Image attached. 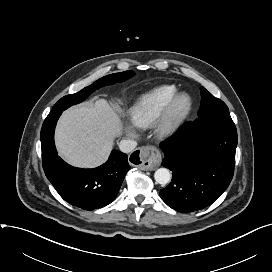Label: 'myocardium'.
<instances>
[{
    "instance_id": "myocardium-1",
    "label": "myocardium",
    "mask_w": 272,
    "mask_h": 272,
    "mask_svg": "<svg viewBox=\"0 0 272 272\" xmlns=\"http://www.w3.org/2000/svg\"><path fill=\"white\" fill-rule=\"evenodd\" d=\"M192 104V98L188 93L178 92L158 120V134L171 135L189 115Z\"/></svg>"
}]
</instances>
